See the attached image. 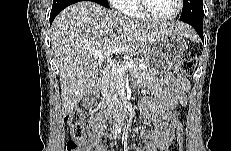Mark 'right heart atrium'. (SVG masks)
<instances>
[{
	"label": "right heart atrium",
	"mask_w": 231,
	"mask_h": 151,
	"mask_svg": "<svg viewBox=\"0 0 231 151\" xmlns=\"http://www.w3.org/2000/svg\"><path fill=\"white\" fill-rule=\"evenodd\" d=\"M110 4L117 10L122 11L124 8L125 0H111Z\"/></svg>",
	"instance_id": "obj_1"
}]
</instances>
